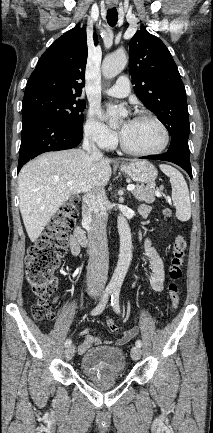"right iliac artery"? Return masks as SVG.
<instances>
[{
	"label": "right iliac artery",
	"instance_id": "82829eb1",
	"mask_svg": "<svg viewBox=\"0 0 213 433\" xmlns=\"http://www.w3.org/2000/svg\"><path fill=\"white\" fill-rule=\"evenodd\" d=\"M112 291H113V287H110V286H108V287L105 289L101 301H100L99 304H98V305H97V306H96V307L91 311V315H98V314H100V313L104 310V308H105V306H106V304H107V302H108L109 296H110V294L112 293ZM71 343H72V340H71V339H67L66 342H65V346L68 347V346L71 345Z\"/></svg>",
	"mask_w": 213,
	"mask_h": 433
}]
</instances>
